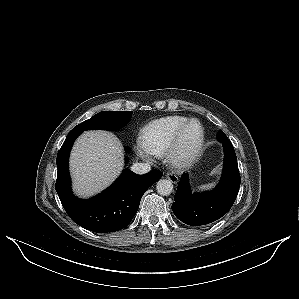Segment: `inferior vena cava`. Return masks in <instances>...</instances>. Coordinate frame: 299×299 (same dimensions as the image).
Segmentation results:
<instances>
[{
  "instance_id": "obj_1",
  "label": "inferior vena cava",
  "mask_w": 299,
  "mask_h": 299,
  "mask_svg": "<svg viewBox=\"0 0 299 299\" xmlns=\"http://www.w3.org/2000/svg\"><path fill=\"white\" fill-rule=\"evenodd\" d=\"M131 170L137 174H146L151 170V166L148 163H134Z\"/></svg>"
}]
</instances>
